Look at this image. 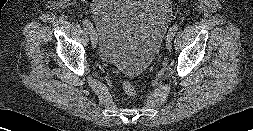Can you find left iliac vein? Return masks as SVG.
I'll return each instance as SVG.
<instances>
[{
    "label": "left iliac vein",
    "mask_w": 253,
    "mask_h": 131,
    "mask_svg": "<svg viewBox=\"0 0 253 131\" xmlns=\"http://www.w3.org/2000/svg\"><path fill=\"white\" fill-rule=\"evenodd\" d=\"M173 37H174V35L172 33L168 32V34L166 36V50L168 52H170L171 49H172V40H173Z\"/></svg>",
    "instance_id": "4c4485c4"
}]
</instances>
